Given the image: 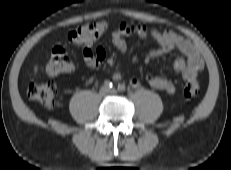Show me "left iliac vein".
<instances>
[{"label": "left iliac vein", "instance_id": "obj_1", "mask_svg": "<svg viewBox=\"0 0 231 170\" xmlns=\"http://www.w3.org/2000/svg\"><path fill=\"white\" fill-rule=\"evenodd\" d=\"M115 93H116L115 90H111V91H110V94H115Z\"/></svg>", "mask_w": 231, "mask_h": 170}]
</instances>
